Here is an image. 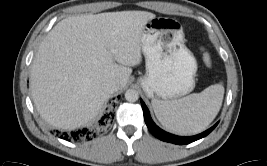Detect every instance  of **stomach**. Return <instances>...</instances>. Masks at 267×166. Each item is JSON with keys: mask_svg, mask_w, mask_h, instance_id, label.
<instances>
[{"mask_svg": "<svg viewBox=\"0 0 267 166\" xmlns=\"http://www.w3.org/2000/svg\"><path fill=\"white\" fill-rule=\"evenodd\" d=\"M141 50L146 73L137 82L149 98L170 101L194 89L197 62L185 46L182 27L176 20H150L142 33Z\"/></svg>", "mask_w": 267, "mask_h": 166, "instance_id": "obj_1", "label": "stomach"}]
</instances>
